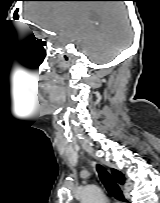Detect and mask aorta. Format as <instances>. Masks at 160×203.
Masks as SVG:
<instances>
[{"label": "aorta", "mask_w": 160, "mask_h": 203, "mask_svg": "<svg viewBox=\"0 0 160 203\" xmlns=\"http://www.w3.org/2000/svg\"><path fill=\"white\" fill-rule=\"evenodd\" d=\"M81 203H105V196L102 190L96 185H88L81 191Z\"/></svg>", "instance_id": "obj_1"}]
</instances>
